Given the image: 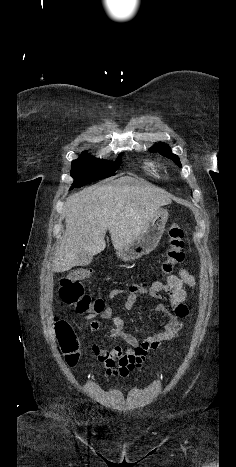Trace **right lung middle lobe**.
<instances>
[{
  "instance_id": "dd1d6c3e",
  "label": "right lung middle lobe",
  "mask_w": 236,
  "mask_h": 467,
  "mask_svg": "<svg viewBox=\"0 0 236 467\" xmlns=\"http://www.w3.org/2000/svg\"><path fill=\"white\" fill-rule=\"evenodd\" d=\"M121 154L115 162L96 159L85 152L79 159L72 161L71 176L74 178L73 187H80L90 182L115 175L120 165Z\"/></svg>"
}]
</instances>
